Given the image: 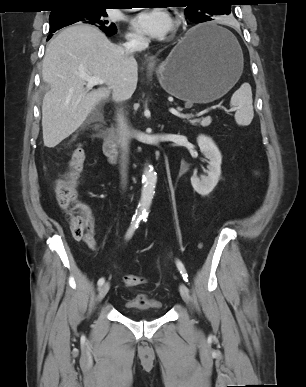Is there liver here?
I'll return each mask as SVG.
<instances>
[{
    "label": "liver",
    "instance_id": "obj_1",
    "mask_svg": "<svg viewBox=\"0 0 306 387\" xmlns=\"http://www.w3.org/2000/svg\"><path fill=\"white\" fill-rule=\"evenodd\" d=\"M87 77H100L104 86L89 92ZM42 78L50 89L42 104L44 145L57 146L74 133L111 92L127 86L133 92L138 65L132 55L113 44L97 27L78 24L61 31L48 44Z\"/></svg>",
    "mask_w": 306,
    "mask_h": 387
}]
</instances>
